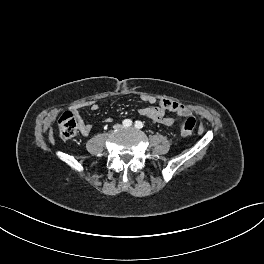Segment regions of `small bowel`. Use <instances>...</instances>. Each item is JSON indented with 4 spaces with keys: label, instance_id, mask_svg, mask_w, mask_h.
<instances>
[{
    "label": "small bowel",
    "instance_id": "obj_1",
    "mask_svg": "<svg viewBox=\"0 0 264 264\" xmlns=\"http://www.w3.org/2000/svg\"><path fill=\"white\" fill-rule=\"evenodd\" d=\"M142 99L149 104H154L156 101L155 98L151 96L143 97ZM83 106L89 107L92 111H96L99 108L98 104L91 101L86 102ZM166 111L176 112L181 116H189L191 114L190 110L184 105L168 99L161 100L158 106L140 108L139 114L165 126H172L175 120L172 117L166 116ZM75 113L78 119L80 133L83 136H88L92 130V125L83 120L77 109ZM106 122H110V118L106 119Z\"/></svg>",
    "mask_w": 264,
    "mask_h": 264
}]
</instances>
